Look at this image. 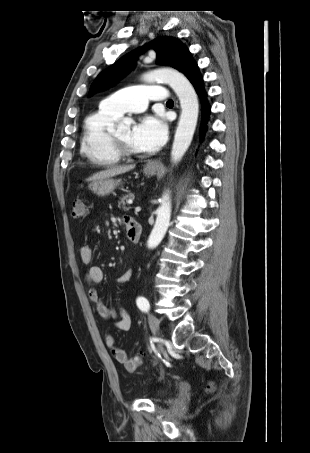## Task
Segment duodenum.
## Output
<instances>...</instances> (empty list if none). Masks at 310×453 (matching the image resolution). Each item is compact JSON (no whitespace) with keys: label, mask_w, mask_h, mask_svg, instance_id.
Returning a JSON list of instances; mask_svg holds the SVG:
<instances>
[{"label":"duodenum","mask_w":310,"mask_h":453,"mask_svg":"<svg viewBox=\"0 0 310 453\" xmlns=\"http://www.w3.org/2000/svg\"><path fill=\"white\" fill-rule=\"evenodd\" d=\"M126 232L129 241L137 243L141 237V226L136 220H131L126 224Z\"/></svg>","instance_id":"410a0bca"}]
</instances>
